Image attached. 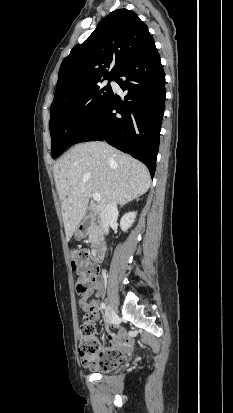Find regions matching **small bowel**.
Listing matches in <instances>:
<instances>
[{
    "label": "small bowel",
    "instance_id": "obj_1",
    "mask_svg": "<svg viewBox=\"0 0 233 413\" xmlns=\"http://www.w3.org/2000/svg\"><path fill=\"white\" fill-rule=\"evenodd\" d=\"M93 290H96V298L88 300ZM103 293V284L99 280H95L94 287L86 294L81 295L78 300V305L82 311L90 313L95 319L99 318L100 303L99 298ZM131 347V340L122 332L111 333L108 336V345H100V357H104L110 353L119 354L122 358Z\"/></svg>",
    "mask_w": 233,
    "mask_h": 413
}]
</instances>
